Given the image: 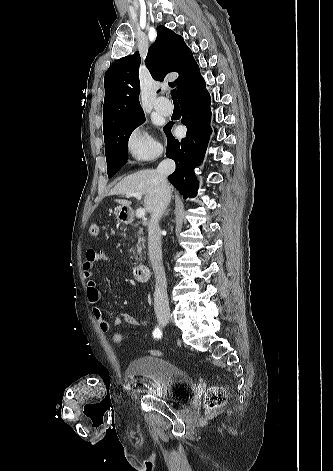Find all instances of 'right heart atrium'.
I'll list each match as a JSON object with an SVG mask.
<instances>
[{
  "label": "right heart atrium",
  "mask_w": 333,
  "mask_h": 471,
  "mask_svg": "<svg viewBox=\"0 0 333 471\" xmlns=\"http://www.w3.org/2000/svg\"><path fill=\"white\" fill-rule=\"evenodd\" d=\"M126 148L135 159L148 160L161 153V146L143 128L133 129L127 136Z\"/></svg>",
  "instance_id": "right-heart-atrium-1"
}]
</instances>
